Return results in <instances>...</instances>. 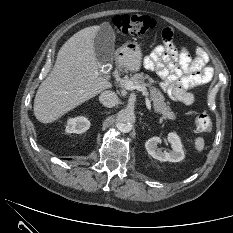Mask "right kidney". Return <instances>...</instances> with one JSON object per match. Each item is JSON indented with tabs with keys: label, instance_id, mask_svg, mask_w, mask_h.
I'll use <instances>...</instances> for the list:
<instances>
[{
	"label": "right kidney",
	"instance_id": "ca27d5eb",
	"mask_svg": "<svg viewBox=\"0 0 233 233\" xmlns=\"http://www.w3.org/2000/svg\"><path fill=\"white\" fill-rule=\"evenodd\" d=\"M65 127L67 133L81 134L89 129L90 121L84 116L69 118Z\"/></svg>",
	"mask_w": 233,
	"mask_h": 233
}]
</instances>
